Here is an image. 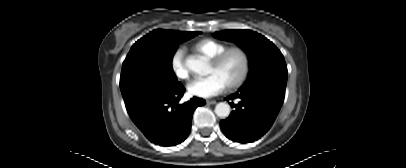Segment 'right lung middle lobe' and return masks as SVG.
<instances>
[{"label": "right lung middle lobe", "instance_id": "obj_1", "mask_svg": "<svg viewBox=\"0 0 406 168\" xmlns=\"http://www.w3.org/2000/svg\"><path fill=\"white\" fill-rule=\"evenodd\" d=\"M201 32H193L194 37ZM185 40L143 37L132 46L122 65L120 89L128 114L180 84L172 70L178 44Z\"/></svg>", "mask_w": 406, "mask_h": 168}]
</instances>
